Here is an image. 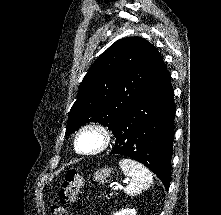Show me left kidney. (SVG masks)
I'll use <instances>...</instances> for the list:
<instances>
[{
    "mask_svg": "<svg viewBox=\"0 0 221 215\" xmlns=\"http://www.w3.org/2000/svg\"><path fill=\"white\" fill-rule=\"evenodd\" d=\"M113 215H136L135 209H122L119 212L114 213Z\"/></svg>",
    "mask_w": 221,
    "mask_h": 215,
    "instance_id": "5707ae66",
    "label": "left kidney"
}]
</instances>
